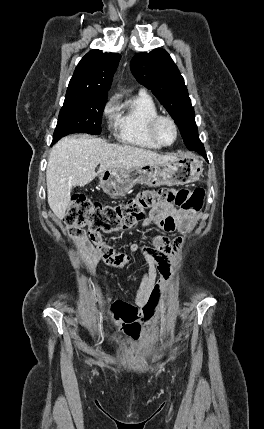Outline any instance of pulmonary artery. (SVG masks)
<instances>
[{
	"label": "pulmonary artery",
	"instance_id": "e3ab8cb5",
	"mask_svg": "<svg viewBox=\"0 0 264 429\" xmlns=\"http://www.w3.org/2000/svg\"><path fill=\"white\" fill-rule=\"evenodd\" d=\"M140 93H145V90L144 89H140Z\"/></svg>",
	"mask_w": 264,
	"mask_h": 429
}]
</instances>
